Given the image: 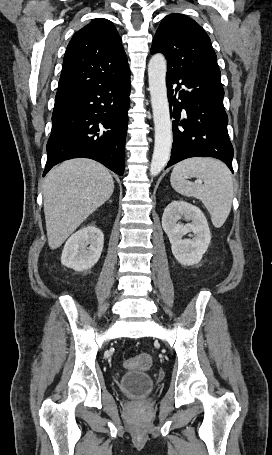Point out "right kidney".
Listing matches in <instances>:
<instances>
[{"mask_svg": "<svg viewBox=\"0 0 272 455\" xmlns=\"http://www.w3.org/2000/svg\"><path fill=\"white\" fill-rule=\"evenodd\" d=\"M103 245L104 236L99 228L93 225L81 228L67 240L61 263L76 271L90 269L98 262Z\"/></svg>", "mask_w": 272, "mask_h": 455, "instance_id": "ca27d5eb", "label": "right kidney"}]
</instances>
